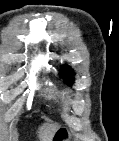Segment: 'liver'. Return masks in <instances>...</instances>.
<instances>
[{"mask_svg": "<svg viewBox=\"0 0 119 141\" xmlns=\"http://www.w3.org/2000/svg\"><path fill=\"white\" fill-rule=\"evenodd\" d=\"M58 129V126L52 123H45L42 125L43 141H50L53 133Z\"/></svg>", "mask_w": 119, "mask_h": 141, "instance_id": "liver-1", "label": "liver"}]
</instances>
